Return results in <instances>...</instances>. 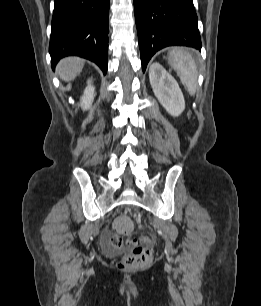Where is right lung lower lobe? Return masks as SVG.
I'll return each instance as SVG.
<instances>
[{"instance_id": "obj_1", "label": "right lung lower lobe", "mask_w": 261, "mask_h": 306, "mask_svg": "<svg viewBox=\"0 0 261 306\" xmlns=\"http://www.w3.org/2000/svg\"><path fill=\"white\" fill-rule=\"evenodd\" d=\"M49 53L54 68L60 58L77 55L106 74L110 0H54Z\"/></svg>"}]
</instances>
